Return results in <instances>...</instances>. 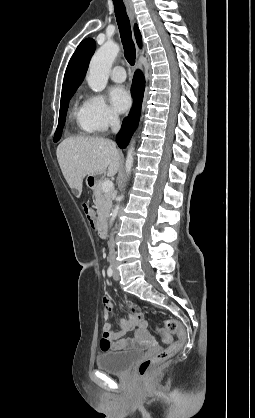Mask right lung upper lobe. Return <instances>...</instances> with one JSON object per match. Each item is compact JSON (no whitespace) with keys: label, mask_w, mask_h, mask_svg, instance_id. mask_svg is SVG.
<instances>
[{"label":"right lung upper lobe","mask_w":255,"mask_h":418,"mask_svg":"<svg viewBox=\"0 0 255 418\" xmlns=\"http://www.w3.org/2000/svg\"><path fill=\"white\" fill-rule=\"evenodd\" d=\"M134 34L137 44L141 48L142 38L136 24L134 25ZM95 48V41L91 38H87L79 44L68 63L64 75L62 93L70 90H76L82 83Z\"/></svg>","instance_id":"1"}]
</instances>
